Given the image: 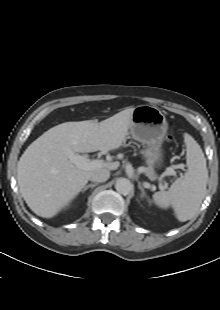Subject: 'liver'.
Returning <instances> with one entry per match:
<instances>
[{
  "mask_svg": "<svg viewBox=\"0 0 220 310\" xmlns=\"http://www.w3.org/2000/svg\"><path fill=\"white\" fill-rule=\"evenodd\" d=\"M134 108L98 123L95 120L65 122L50 128L24 151L17 166L20 193L38 216L51 218L68 205L84 188L90 176L115 170L119 163L83 170L68 158V152H108L125 142Z\"/></svg>",
  "mask_w": 220,
  "mask_h": 310,
  "instance_id": "1",
  "label": "liver"
}]
</instances>
